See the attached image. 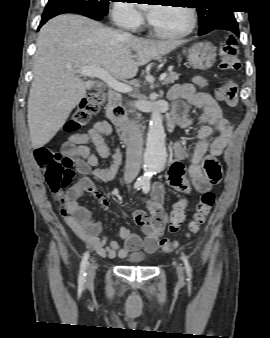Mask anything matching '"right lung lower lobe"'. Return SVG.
<instances>
[{
    "instance_id": "98d812e1",
    "label": "right lung lower lobe",
    "mask_w": 270,
    "mask_h": 338,
    "mask_svg": "<svg viewBox=\"0 0 270 338\" xmlns=\"http://www.w3.org/2000/svg\"><path fill=\"white\" fill-rule=\"evenodd\" d=\"M63 13H78V14H82L85 15L87 17L96 19V20H101L103 19V17L105 15L99 14V13H95V12H91V11H87V10H81V9H74V10H63V9H52V10H45L43 15H42V20L40 22V26L39 28L46 23L49 19L59 15V14H63Z\"/></svg>"
}]
</instances>
